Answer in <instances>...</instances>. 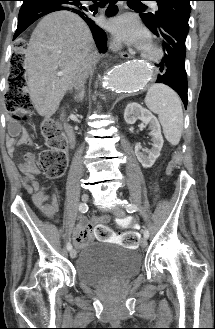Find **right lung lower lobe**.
I'll use <instances>...</instances> for the list:
<instances>
[{
    "label": "right lung lower lobe",
    "mask_w": 215,
    "mask_h": 329,
    "mask_svg": "<svg viewBox=\"0 0 215 329\" xmlns=\"http://www.w3.org/2000/svg\"><path fill=\"white\" fill-rule=\"evenodd\" d=\"M82 1L84 0H23L18 16L17 30L13 39L19 36L40 17L54 11L68 10L79 15L87 23L99 52L104 53L106 51V33L98 26L94 19V15L91 14V12L96 11V9L92 6L84 5ZM116 2L117 0H110L109 7L106 10V15L108 17L114 16L118 12V7L115 5ZM12 65L14 73H18L20 68H22L21 64L15 59L12 60Z\"/></svg>",
    "instance_id": "98d812e1"
}]
</instances>
